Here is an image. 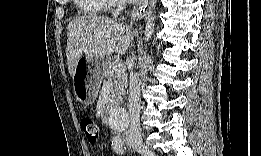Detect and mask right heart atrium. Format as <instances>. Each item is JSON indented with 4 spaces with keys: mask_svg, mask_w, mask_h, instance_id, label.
Here are the masks:
<instances>
[{
    "mask_svg": "<svg viewBox=\"0 0 261 156\" xmlns=\"http://www.w3.org/2000/svg\"><path fill=\"white\" fill-rule=\"evenodd\" d=\"M117 5H118L117 1H105V0H103V1H99V4H98L96 9L106 11V10L113 9Z\"/></svg>",
    "mask_w": 261,
    "mask_h": 156,
    "instance_id": "right-heart-atrium-1",
    "label": "right heart atrium"
}]
</instances>
